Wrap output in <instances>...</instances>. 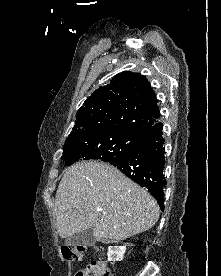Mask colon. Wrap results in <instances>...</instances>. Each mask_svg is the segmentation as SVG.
<instances>
[{"label":"colon","mask_w":221,"mask_h":276,"mask_svg":"<svg viewBox=\"0 0 221 276\" xmlns=\"http://www.w3.org/2000/svg\"><path fill=\"white\" fill-rule=\"evenodd\" d=\"M84 251V246H64L61 250L63 258L70 262L80 261ZM75 276H110V269L107 262L94 260L85 268L79 270Z\"/></svg>","instance_id":"colon-1"}]
</instances>
